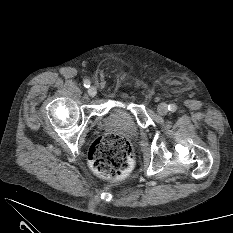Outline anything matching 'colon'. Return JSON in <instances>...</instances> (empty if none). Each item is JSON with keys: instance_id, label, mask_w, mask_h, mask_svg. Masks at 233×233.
<instances>
[{"instance_id": "obj_1", "label": "colon", "mask_w": 233, "mask_h": 233, "mask_svg": "<svg viewBox=\"0 0 233 233\" xmlns=\"http://www.w3.org/2000/svg\"><path fill=\"white\" fill-rule=\"evenodd\" d=\"M88 161L93 172L101 178L118 179L132 167V147L121 135L103 134L90 146Z\"/></svg>"}]
</instances>
